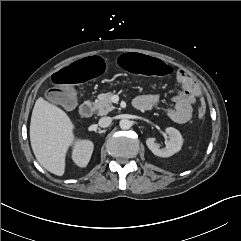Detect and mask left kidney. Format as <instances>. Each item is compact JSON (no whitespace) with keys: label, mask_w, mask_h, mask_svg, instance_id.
I'll use <instances>...</instances> for the list:
<instances>
[{"label":"left kidney","mask_w":241,"mask_h":241,"mask_svg":"<svg viewBox=\"0 0 241 241\" xmlns=\"http://www.w3.org/2000/svg\"><path fill=\"white\" fill-rule=\"evenodd\" d=\"M165 131L169 137V140L164 148H159L155 142L156 139L153 137L146 139V145L154 155L166 158L181 150L183 138L180 132L173 127H168Z\"/></svg>","instance_id":"obj_1"}]
</instances>
